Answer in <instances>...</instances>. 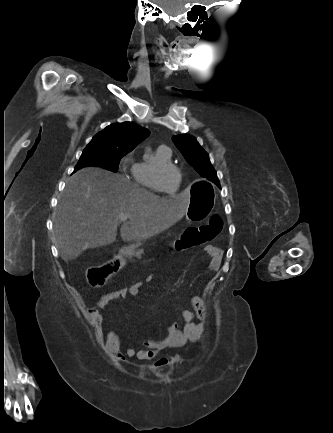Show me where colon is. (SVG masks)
<instances>
[{
  "instance_id": "5ec220e1",
  "label": "colon",
  "mask_w": 333,
  "mask_h": 433,
  "mask_svg": "<svg viewBox=\"0 0 333 433\" xmlns=\"http://www.w3.org/2000/svg\"><path fill=\"white\" fill-rule=\"evenodd\" d=\"M223 227L222 219L219 215H212L209 220L200 225L187 228L182 236H171L170 244L175 245L177 250L202 246L214 240L221 232ZM124 265V262L119 257H112L111 260L100 265L91 267L87 271V281L90 286L98 287L102 285L113 274L119 271ZM130 266V263H127ZM167 363L166 359H160L156 366H161Z\"/></svg>"
}]
</instances>
